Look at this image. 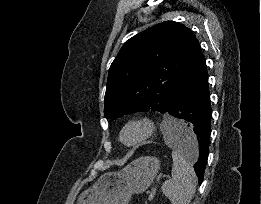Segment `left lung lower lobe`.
<instances>
[{"mask_svg": "<svg viewBox=\"0 0 261 204\" xmlns=\"http://www.w3.org/2000/svg\"><path fill=\"white\" fill-rule=\"evenodd\" d=\"M165 112L187 123L186 130L179 133L176 142L197 159L194 169L201 184L209 154L212 109L205 57L199 43Z\"/></svg>", "mask_w": 261, "mask_h": 204, "instance_id": "0a47b994", "label": "left lung lower lobe"}]
</instances>
